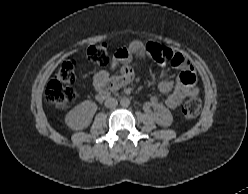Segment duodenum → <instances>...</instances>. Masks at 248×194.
<instances>
[{
	"label": "duodenum",
	"mask_w": 248,
	"mask_h": 194,
	"mask_svg": "<svg viewBox=\"0 0 248 194\" xmlns=\"http://www.w3.org/2000/svg\"><path fill=\"white\" fill-rule=\"evenodd\" d=\"M109 97V94L108 93H105V92H102V93H99L98 94V99L99 100H105Z\"/></svg>",
	"instance_id": "obj_1"
}]
</instances>
